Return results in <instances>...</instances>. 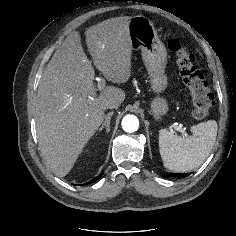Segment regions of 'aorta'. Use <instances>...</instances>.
<instances>
[{
  "label": "aorta",
  "instance_id": "aorta-1",
  "mask_svg": "<svg viewBox=\"0 0 236 236\" xmlns=\"http://www.w3.org/2000/svg\"><path fill=\"white\" fill-rule=\"evenodd\" d=\"M121 125L125 132L133 133L139 128V120L135 115L128 114L122 119Z\"/></svg>",
  "mask_w": 236,
  "mask_h": 236
}]
</instances>
